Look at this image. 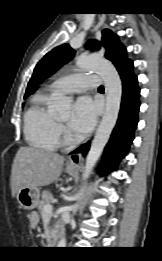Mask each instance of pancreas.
<instances>
[{"mask_svg": "<svg viewBox=\"0 0 162 261\" xmlns=\"http://www.w3.org/2000/svg\"><path fill=\"white\" fill-rule=\"evenodd\" d=\"M52 200H53L52 194L48 190H44L42 192V200L38 204V210L41 215H44V206L50 204ZM50 233L51 235H53L54 231L51 230Z\"/></svg>", "mask_w": 162, "mask_h": 261, "instance_id": "1", "label": "pancreas"}]
</instances>
